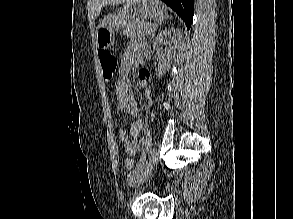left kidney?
<instances>
[{
  "mask_svg": "<svg viewBox=\"0 0 293 219\" xmlns=\"http://www.w3.org/2000/svg\"><path fill=\"white\" fill-rule=\"evenodd\" d=\"M182 32L179 29H164L159 32L153 42V49L158 56V75H162L170 67L176 56V49L179 47ZM164 44L165 48H162Z\"/></svg>",
  "mask_w": 293,
  "mask_h": 219,
  "instance_id": "left-kidney-1",
  "label": "left kidney"
}]
</instances>
